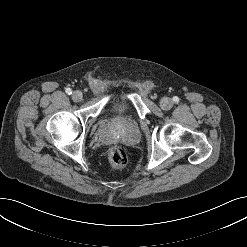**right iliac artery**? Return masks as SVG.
Here are the masks:
<instances>
[{
  "instance_id": "obj_1",
  "label": "right iliac artery",
  "mask_w": 247,
  "mask_h": 247,
  "mask_svg": "<svg viewBox=\"0 0 247 247\" xmlns=\"http://www.w3.org/2000/svg\"><path fill=\"white\" fill-rule=\"evenodd\" d=\"M65 91H66V93L69 94V95L72 94V90H71L70 88H67Z\"/></svg>"
}]
</instances>
